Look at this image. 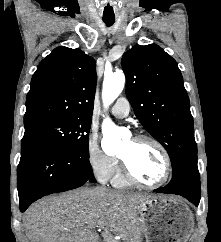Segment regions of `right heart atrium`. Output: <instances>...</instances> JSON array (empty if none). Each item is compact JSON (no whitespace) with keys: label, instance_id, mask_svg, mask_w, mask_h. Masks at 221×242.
Here are the masks:
<instances>
[{"label":"right heart atrium","instance_id":"d8ad5b80","mask_svg":"<svg viewBox=\"0 0 221 242\" xmlns=\"http://www.w3.org/2000/svg\"><path fill=\"white\" fill-rule=\"evenodd\" d=\"M86 157L90 169L101 181L112 178L118 163L117 158L102 150L98 136L94 132L87 138Z\"/></svg>","mask_w":221,"mask_h":242}]
</instances>
